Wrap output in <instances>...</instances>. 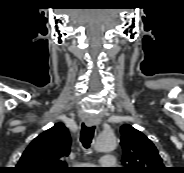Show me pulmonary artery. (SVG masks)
Returning <instances> with one entry per match:
<instances>
[{
    "mask_svg": "<svg viewBox=\"0 0 184 173\" xmlns=\"http://www.w3.org/2000/svg\"><path fill=\"white\" fill-rule=\"evenodd\" d=\"M99 164L104 168H110L116 164V159L112 155H105L102 157Z\"/></svg>",
    "mask_w": 184,
    "mask_h": 173,
    "instance_id": "1",
    "label": "pulmonary artery"
}]
</instances>
